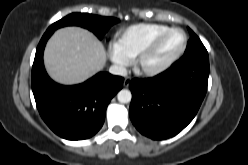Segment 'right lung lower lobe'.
Wrapping results in <instances>:
<instances>
[{"instance_id":"98d812e1","label":"right lung lower lobe","mask_w":248,"mask_h":165,"mask_svg":"<svg viewBox=\"0 0 248 165\" xmlns=\"http://www.w3.org/2000/svg\"><path fill=\"white\" fill-rule=\"evenodd\" d=\"M54 31L40 40L32 67V91L37 109L49 128L62 138L83 140L102 127L106 108L123 86V78L98 73L86 82L63 86L52 81L44 68L43 51Z\"/></svg>"}]
</instances>
